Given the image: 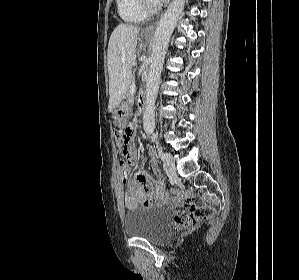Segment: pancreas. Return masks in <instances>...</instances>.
<instances>
[{
    "instance_id": "obj_1",
    "label": "pancreas",
    "mask_w": 299,
    "mask_h": 280,
    "mask_svg": "<svg viewBox=\"0 0 299 280\" xmlns=\"http://www.w3.org/2000/svg\"><path fill=\"white\" fill-rule=\"evenodd\" d=\"M133 83H134V80H133V78L131 77L130 82H129V86H128V97H131L129 91H130V86H131Z\"/></svg>"
}]
</instances>
